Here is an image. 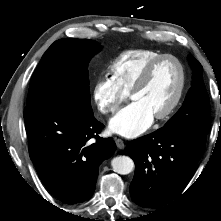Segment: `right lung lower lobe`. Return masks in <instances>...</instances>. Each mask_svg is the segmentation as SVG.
I'll return each instance as SVG.
<instances>
[{
	"mask_svg": "<svg viewBox=\"0 0 221 221\" xmlns=\"http://www.w3.org/2000/svg\"><path fill=\"white\" fill-rule=\"evenodd\" d=\"M23 116L30 158L47 189L68 204L88 199L99 165L116 149L112 138L98 136L103 124L93 112L49 102L27 106Z\"/></svg>",
	"mask_w": 221,
	"mask_h": 221,
	"instance_id": "obj_1",
	"label": "right lung lower lobe"
}]
</instances>
